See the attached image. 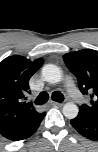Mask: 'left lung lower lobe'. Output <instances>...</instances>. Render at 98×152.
Returning <instances> with one entry per match:
<instances>
[{
	"mask_svg": "<svg viewBox=\"0 0 98 152\" xmlns=\"http://www.w3.org/2000/svg\"><path fill=\"white\" fill-rule=\"evenodd\" d=\"M71 125L82 136L91 139L98 140V122L81 115L71 120Z\"/></svg>",
	"mask_w": 98,
	"mask_h": 152,
	"instance_id": "1",
	"label": "left lung lower lobe"
}]
</instances>
